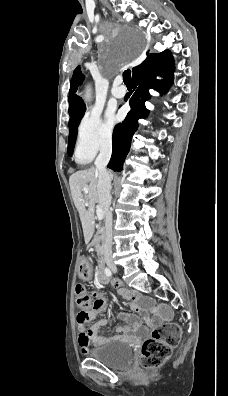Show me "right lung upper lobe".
<instances>
[{"label": "right lung upper lobe", "mask_w": 228, "mask_h": 396, "mask_svg": "<svg viewBox=\"0 0 228 396\" xmlns=\"http://www.w3.org/2000/svg\"><path fill=\"white\" fill-rule=\"evenodd\" d=\"M147 55H148V53H147ZM150 55H148V56H150ZM136 67L132 68V72L136 69ZM83 79H84V76L81 73L80 66H78L73 72V76H72L71 83H70V91H69V114L70 115L74 114L75 112L82 111V110L86 109L82 99L75 94L78 86L82 84Z\"/></svg>", "instance_id": "cb5924a9"}]
</instances>
